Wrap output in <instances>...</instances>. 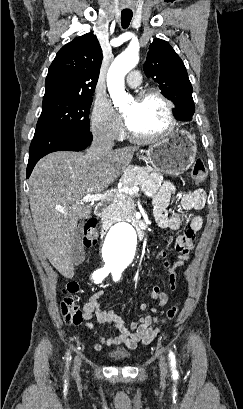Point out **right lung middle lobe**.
<instances>
[{"label":"right lung middle lobe","mask_w":243,"mask_h":409,"mask_svg":"<svg viewBox=\"0 0 243 409\" xmlns=\"http://www.w3.org/2000/svg\"><path fill=\"white\" fill-rule=\"evenodd\" d=\"M92 97H74L43 101L36 129L62 132H90L89 111Z\"/></svg>","instance_id":"right-lung-middle-lobe-1"}]
</instances>
